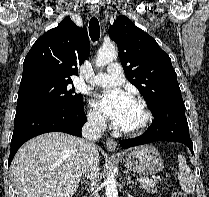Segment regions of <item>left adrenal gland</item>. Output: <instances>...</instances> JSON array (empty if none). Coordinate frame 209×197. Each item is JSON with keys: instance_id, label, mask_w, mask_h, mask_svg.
I'll return each instance as SVG.
<instances>
[{"instance_id": "left-adrenal-gland-1", "label": "left adrenal gland", "mask_w": 209, "mask_h": 197, "mask_svg": "<svg viewBox=\"0 0 209 197\" xmlns=\"http://www.w3.org/2000/svg\"><path fill=\"white\" fill-rule=\"evenodd\" d=\"M126 179H127V185L134 184V182L131 180V177L129 175H126Z\"/></svg>"}]
</instances>
